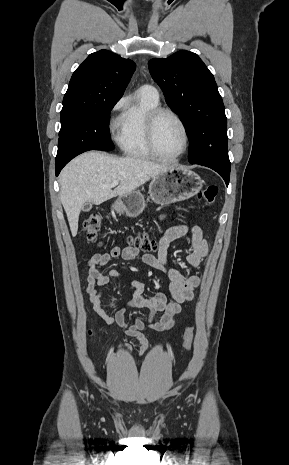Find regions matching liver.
Instances as JSON below:
<instances>
[{
	"instance_id": "liver-1",
	"label": "liver",
	"mask_w": 289,
	"mask_h": 465,
	"mask_svg": "<svg viewBox=\"0 0 289 465\" xmlns=\"http://www.w3.org/2000/svg\"><path fill=\"white\" fill-rule=\"evenodd\" d=\"M169 168V165L141 158H117L95 151L73 159L59 176L60 200L72 236L77 235L79 214L86 202L99 205L116 196L129 194ZM114 181L120 184L112 190L110 185Z\"/></svg>"
}]
</instances>
